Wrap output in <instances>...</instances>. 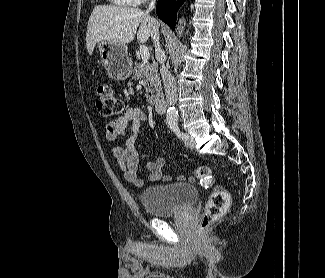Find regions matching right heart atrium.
Segmentation results:
<instances>
[{
    "label": "right heart atrium",
    "instance_id": "d8ad5b80",
    "mask_svg": "<svg viewBox=\"0 0 325 278\" xmlns=\"http://www.w3.org/2000/svg\"><path fill=\"white\" fill-rule=\"evenodd\" d=\"M135 4L139 5L145 3L147 0H133Z\"/></svg>",
    "mask_w": 325,
    "mask_h": 278
}]
</instances>
